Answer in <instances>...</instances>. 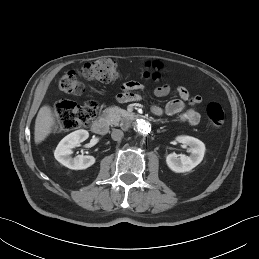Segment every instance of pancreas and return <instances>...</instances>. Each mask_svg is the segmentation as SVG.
Returning a JSON list of instances; mask_svg holds the SVG:
<instances>
[{
  "mask_svg": "<svg viewBox=\"0 0 259 259\" xmlns=\"http://www.w3.org/2000/svg\"><path fill=\"white\" fill-rule=\"evenodd\" d=\"M131 115H132L131 113L117 106L108 107L103 112V116L111 125H114V126L120 125L124 128L128 126V121Z\"/></svg>",
  "mask_w": 259,
  "mask_h": 259,
  "instance_id": "1",
  "label": "pancreas"
}]
</instances>
